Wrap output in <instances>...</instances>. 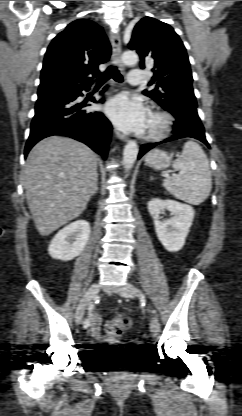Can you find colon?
I'll list each match as a JSON object with an SVG mask.
<instances>
[{
  "label": "colon",
  "instance_id": "colon-1",
  "mask_svg": "<svg viewBox=\"0 0 242 416\" xmlns=\"http://www.w3.org/2000/svg\"><path fill=\"white\" fill-rule=\"evenodd\" d=\"M130 325L131 321L127 316L118 314L106 322L105 328L110 336L115 337L122 335L129 329Z\"/></svg>",
  "mask_w": 242,
  "mask_h": 416
}]
</instances>
